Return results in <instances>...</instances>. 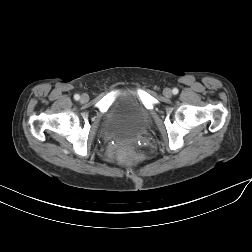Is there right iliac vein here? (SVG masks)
Returning <instances> with one entry per match:
<instances>
[{"instance_id":"1","label":"right iliac vein","mask_w":252,"mask_h":252,"mask_svg":"<svg viewBox=\"0 0 252 252\" xmlns=\"http://www.w3.org/2000/svg\"><path fill=\"white\" fill-rule=\"evenodd\" d=\"M88 99H89V97H88L87 94H82V96H81V98H80L81 102H83V103L87 102Z\"/></svg>"}]
</instances>
